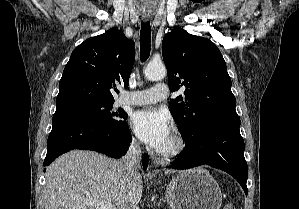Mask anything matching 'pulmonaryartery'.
<instances>
[{
	"instance_id": "e3ab8cb5",
	"label": "pulmonary artery",
	"mask_w": 299,
	"mask_h": 209,
	"mask_svg": "<svg viewBox=\"0 0 299 209\" xmlns=\"http://www.w3.org/2000/svg\"><path fill=\"white\" fill-rule=\"evenodd\" d=\"M168 94L167 85L157 83L149 89L126 92L121 99V103L124 105L151 104L166 99Z\"/></svg>"
}]
</instances>
